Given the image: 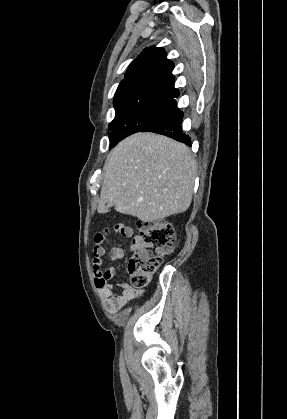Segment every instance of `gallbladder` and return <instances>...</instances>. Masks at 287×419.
I'll return each mask as SVG.
<instances>
[{
  "label": "gallbladder",
  "instance_id": "bac80fb5",
  "mask_svg": "<svg viewBox=\"0 0 287 419\" xmlns=\"http://www.w3.org/2000/svg\"><path fill=\"white\" fill-rule=\"evenodd\" d=\"M107 207L108 209H111L113 207V204H108Z\"/></svg>",
  "mask_w": 287,
  "mask_h": 419
}]
</instances>
